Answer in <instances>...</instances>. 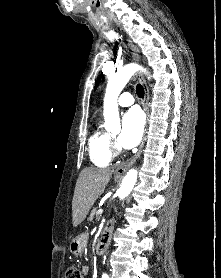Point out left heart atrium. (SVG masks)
I'll use <instances>...</instances> for the list:
<instances>
[{
    "label": "left heart atrium",
    "mask_w": 221,
    "mask_h": 278,
    "mask_svg": "<svg viewBox=\"0 0 221 278\" xmlns=\"http://www.w3.org/2000/svg\"><path fill=\"white\" fill-rule=\"evenodd\" d=\"M144 129V116L138 109H130L123 117L122 131L118 142L124 148H133L141 140Z\"/></svg>",
    "instance_id": "1"
}]
</instances>
